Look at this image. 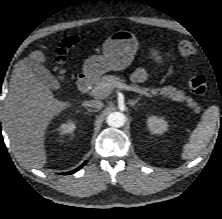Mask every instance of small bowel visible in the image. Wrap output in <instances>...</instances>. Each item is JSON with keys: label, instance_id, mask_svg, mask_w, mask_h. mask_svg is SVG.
<instances>
[{"label": "small bowel", "instance_id": "1", "mask_svg": "<svg viewBox=\"0 0 222 219\" xmlns=\"http://www.w3.org/2000/svg\"><path fill=\"white\" fill-rule=\"evenodd\" d=\"M148 77H149L148 72L143 68H139L133 73L132 79L135 82L141 83L146 81Z\"/></svg>", "mask_w": 222, "mask_h": 219}]
</instances>
